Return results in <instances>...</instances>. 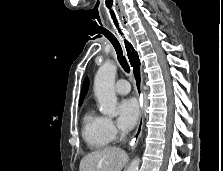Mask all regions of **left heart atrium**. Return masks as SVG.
<instances>
[{"mask_svg":"<svg viewBox=\"0 0 223 171\" xmlns=\"http://www.w3.org/2000/svg\"><path fill=\"white\" fill-rule=\"evenodd\" d=\"M139 104L134 98H125L118 105V124L123 129L132 128L139 117Z\"/></svg>","mask_w":223,"mask_h":171,"instance_id":"left-heart-atrium-1","label":"left heart atrium"}]
</instances>
